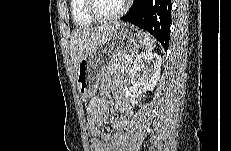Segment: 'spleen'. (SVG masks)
<instances>
[{"label":"spleen","mask_w":231,"mask_h":151,"mask_svg":"<svg viewBox=\"0 0 231 151\" xmlns=\"http://www.w3.org/2000/svg\"><path fill=\"white\" fill-rule=\"evenodd\" d=\"M144 42H143V46L147 51H151L153 50L154 46H155V40L150 36V34L144 32Z\"/></svg>","instance_id":"obj_1"}]
</instances>
